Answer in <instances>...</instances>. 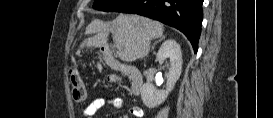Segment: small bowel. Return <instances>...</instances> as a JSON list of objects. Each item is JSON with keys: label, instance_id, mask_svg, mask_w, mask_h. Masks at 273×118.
<instances>
[{"label": "small bowel", "instance_id": "c3829d8e", "mask_svg": "<svg viewBox=\"0 0 273 118\" xmlns=\"http://www.w3.org/2000/svg\"><path fill=\"white\" fill-rule=\"evenodd\" d=\"M123 105L122 98L109 94H101L93 97L89 103L83 108L82 116L85 118H92L96 112L106 106L120 109ZM130 113L134 117H141L143 111L139 106H133L130 108Z\"/></svg>", "mask_w": 273, "mask_h": 118}]
</instances>
